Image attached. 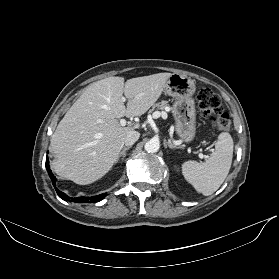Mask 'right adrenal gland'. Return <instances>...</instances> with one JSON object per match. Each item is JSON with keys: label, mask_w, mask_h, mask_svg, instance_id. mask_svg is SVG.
Wrapping results in <instances>:
<instances>
[{"label": "right adrenal gland", "mask_w": 279, "mask_h": 279, "mask_svg": "<svg viewBox=\"0 0 279 279\" xmlns=\"http://www.w3.org/2000/svg\"><path fill=\"white\" fill-rule=\"evenodd\" d=\"M131 148V146H128V147H124L123 150L121 151V153L119 154L117 160H116V163L119 162L120 158H121V161L124 160V157L126 156V151L129 150Z\"/></svg>", "instance_id": "1"}]
</instances>
